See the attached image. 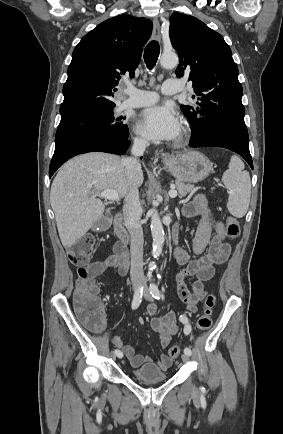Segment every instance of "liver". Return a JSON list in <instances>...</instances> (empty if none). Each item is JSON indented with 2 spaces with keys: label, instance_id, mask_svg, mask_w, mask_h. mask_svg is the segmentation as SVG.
<instances>
[{
  "label": "liver",
  "instance_id": "1",
  "mask_svg": "<svg viewBox=\"0 0 283 434\" xmlns=\"http://www.w3.org/2000/svg\"><path fill=\"white\" fill-rule=\"evenodd\" d=\"M119 156L92 152L66 162L53 180L50 202L62 245L68 249L103 216L105 205L96 194L114 190L125 197L132 185L144 181L142 170L133 183L127 179ZM95 193V194H94Z\"/></svg>",
  "mask_w": 283,
  "mask_h": 434
}]
</instances>
